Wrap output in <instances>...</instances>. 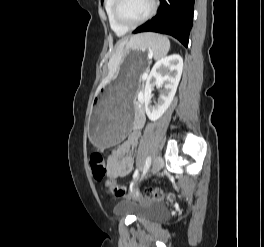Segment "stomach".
Here are the masks:
<instances>
[{
	"mask_svg": "<svg viewBox=\"0 0 264 247\" xmlns=\"http://www.w3.org/2000/svg\"><path fill=\"white\" fill-rule=\"evenodd\" d=\"M137 45L136 41L126 47V50L135 49V53H127V57H123V62L133 63L119 64L117 75L124 76H116L108 86H102L93 101L88 134L91 143L98 148L117 147V142L125 141L127 131L132 128L135 112L132 100L139 76L143 75L145 62L150 57Z\"/></svg>",
	"mask_w": 264,
	"mask_h": 247,
	"instance_id": "obj_1",
	"label": "stomach"
}]
</instances>
